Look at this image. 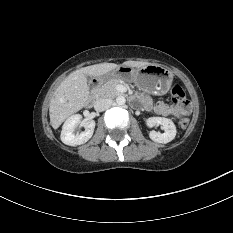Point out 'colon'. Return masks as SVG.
Masks as SVG:
<instances>
[{"label": "colon", "mask_w": 233, "mask_h": 233, "mask_svg": "<svg viewBox=\"0 0 233 233\" xmlns=\"http://www.w3.org/2000/svg\"><path fill=\"white\" fill-rule=\"evenodd\" d=\"M170 97L175 104L178 106H185L187 104L185 98V91L181 85L178 83H172L169 89ZM189 124L188 118L184 117L180 120V125L182 128H186Z\"/></svg>", "instance_id": "1"}]
</instances>
